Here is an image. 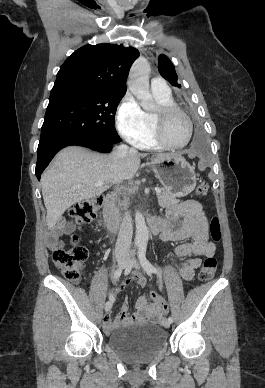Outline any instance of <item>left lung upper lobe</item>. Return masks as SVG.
I'll list each match as a JSON object with an SVG mask.
<instances>
[{
	"mask_svg": "<svg viewBox=\"0 0 265 388\" xmlns=\"http://www.w3.org/2000/svg\"><path fill=\"white\" fill-rule=\"evenodd\" d=\"M158 70L160 74L168 80V82L175 87H181L180 84L177 83L178 77L175 72V68L173 63L170 61V59L166 56L161 54L158 58Z\"/></svg>",
	"mask_w": 265,
	"mask_h": 388,
	"instance_id": "obj_1",
	"label": "left lung upper lobe"
}]
</instances>
